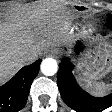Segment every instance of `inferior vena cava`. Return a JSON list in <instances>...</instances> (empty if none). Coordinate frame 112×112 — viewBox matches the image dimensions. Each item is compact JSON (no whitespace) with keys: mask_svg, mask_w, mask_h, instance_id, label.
<instances>
[{"mask_svg":"<svg viewBox=\"0 0 112 112\" xmlns=\"http://www.w3.org/2000/svg\"><path fill=\"white\" fill-rule=\"evenodd\" d=\"M38 54L36 52H25L21 55V61L26 63L33 62L37 58Z\"/></svg>","mask_w":112,"mask_h":112,"instance_id":"1","label":"inferior vena cava"}]
</instances>
